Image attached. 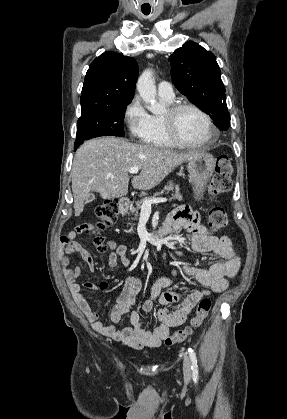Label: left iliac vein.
Returning a JSON list of instances; mask_svg holds the SVG:
<instances>
[{
	"instance_id": "4c4485c4",
	"label": "left iliac vein",
	"mask_w": 287,
	"mask_h": 419,
	"mask_svg": "<svg viewBox=\"0 0 287 419\" xmlns=\"http://www.w3.org/2000/svg\"><path fill=\"white\" fill-rule=\"evenodd\" d=\"M183 372H184V376L187 379L191 377V363L188 356H184V359H183Z\"/></svg>"
}]
</instances>
